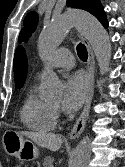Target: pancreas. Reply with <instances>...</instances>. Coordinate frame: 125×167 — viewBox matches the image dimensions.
Listing matches in <instances>:
<instances>
[{
    "mask_svg": "<svg viewBox=\"0 0 125 167\" xmlns=\"http://www.w3.org/2000/svg\"><path fill=\"white\" fill-rule=\"evenodd\" d=\"M53 161H54L53 158H51V157H46V158L43 160V162H42V166H43V167H51L52 164H53Z\"/></svg>",
    "mask_w": 125,
    "mask_h": 167,
    "instance_id": "1",
    "label": "pancreas"
}]
</instances>
